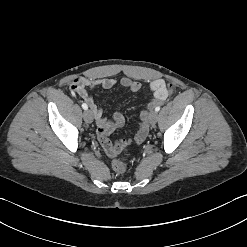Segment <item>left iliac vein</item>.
Here are the masks:
<instances>
[{
    "instance_id": "1",
    "label": "left iliac vein",
    "mask_w": 247,
    "mask_h": 247,
    "mask_svg": "<svg viewBox=\"0 0 247 247\" xmlns=\"http://www.w3.org/2000/svg\"><path fill=\"white\" fill-rule=\"evenodd\" d=\"M148 119L150 124L154 125L157 122L158 113L156 111L150 112Z\"/></svg>"
}]
</instances>
